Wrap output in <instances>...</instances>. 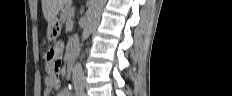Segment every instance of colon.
Masks as SVG:
<instances>
[{"instance_id": "1", "label": "colon", "mask_w": 232, "mask_h": 96, "mask_svg": "<svg viewBox=\"0 0 232 96\" xmlns=\"http://www.w3.org/2000/svg\"><path fill=\"white\" fill-rule=\"evenodd\" d=\"M46 59L49 63L51 72L58 73L62 66V60H61L59 48L55 47L50 49L46 53Z\"/></svg>"}]
</instances>
